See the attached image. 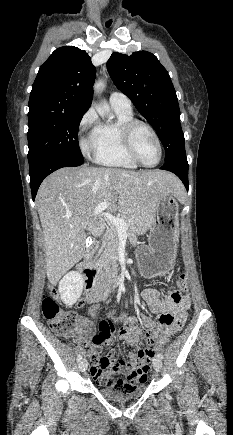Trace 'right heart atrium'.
Segmentation results:
<instances>
[{"label": "right heart atrium", "mask_w": 233, "mask_h": 435, "mask_svg": "<svg viewBox=\"0 0 233 435\" xmlns=\"http://www.w3.org/2000/svg\"><path fill=\"white\" fill-rule=\"evenodd\" d=\"M98 125H99V118L96 111L93 108L89 109L80 120V124H79L80 132H84L92 127L94 128V131L90 136L83 138L80 141L81 150L83 154L87 157H89L97 149L94 134L96 132Z\"/></svg>", "instance_id": "d8ad5b80"}]
</instances>
